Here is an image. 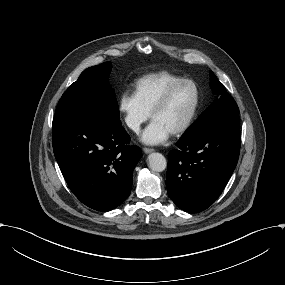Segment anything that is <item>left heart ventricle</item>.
<instances>
[{"instance_id": "left-heart-ventricle-1", "label": "left heart ventricle", "mask_w": 285, "mask_h": 285, "mask_svg": "<svg viewBox=\"0 0 285 285\" xmlns=\"http://www.w3.org/2000/svg\"><path fill=\"white\" fill-rule=\"evenodd\" d=\"M196 99L194 86L183 83L178 86L166 106L157 111L153 118L166 125L171 131L179 127L190 115Z\"/></svg>"}]
</instances>
